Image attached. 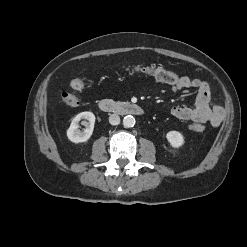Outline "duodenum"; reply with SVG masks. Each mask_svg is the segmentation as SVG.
Here are the masks:
<instances>
[{
  "mask_svg": "<svg viewBox=\"0 0 247 247\" xmlns=\"http://www.w3.org/2000/svg\"><path fill=\"white\" fill-rule=\"evenodd\" d=\"M99 108L103 112L115 113L120 115H142L143 109L134 103L102 99Z\"/></svg>",
  "mask_w": 247,
  "mask_h": 247,
  "instance_id": "410a0bca",
  "label": "duodenum"
}]
</instances>
